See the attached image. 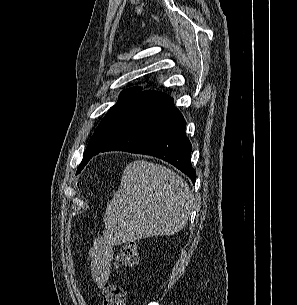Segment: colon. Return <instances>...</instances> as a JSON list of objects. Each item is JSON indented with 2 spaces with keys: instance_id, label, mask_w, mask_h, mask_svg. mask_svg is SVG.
Masks as SVG:
<instances>
[{
  "instance_id": "1",
  "label": "colon",
  "mask_w": 297,
  "mask_h": 305,
  "mask_svg": "<svg viewBox=\"0 0 297 305\" xmlns=\"http://www.w3.org/2000/svg\"><path fill=\"white\" fill-rule=\"evenodd\" d=\"M140 261L139 247L136 243H128L119 250L115 265L118 269L128 270ZM102 305H126V290L118 283L108 284L103 293Z\"/></svg>"
}]
</instances>
